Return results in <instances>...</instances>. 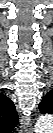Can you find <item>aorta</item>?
<instances>
[{
  "mask_svg": "<svg viewBox=\"0 0 53 133\" xmlns=\"http://www.w3.org/2000/svg\"><path fill=\"white\" fill-rule=\"evenodd\" d=\"M52 124H51V116L46 114L41 116L36 124V129L37 131H43L45 129H49L51 128Z\"/></svg>",
  "mask_w": 53,
  "mask_h": 133,
  "instance_id": "obj_1",
  "label": "aorta"
}]
</instances>
